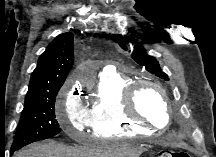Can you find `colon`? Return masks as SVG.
Instances as JSON below:
<instances>
[{"label":"colon","instance_id":"colon-1","mask_svg":"<svg viewBox=\"0 0 216 157\" xmlns=\"http://www.w3.org/2000/svg\"><path fill=\"white\" fill-rule=\"evenodd\" d=\"M158 157H189L184 150H163L159 152Z\"/></svg>","mask_w":216,"mask_h":157}]
</instances>
